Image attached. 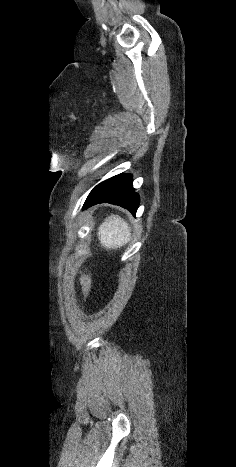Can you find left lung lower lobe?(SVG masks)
Instances as JSON below:
<instances>
[{
    "label": "left lung lower lobe",
    "mask_w": 236,
    "mask_h": 467,
    "mask_svg": "<svg viewBox=\"0 0 236 467\" xmlns=\"http://www.w3.org/2000/svg\"><path fill=\"white\" fill-rule=\"evenodd\" d=\"M139 201V196L133 189L132 176L119 174L98 184L88 195L83 208L107 202L120 205L135 215Z\"/></svg>",
    "instance_id": "0a47b994"
}]
</instances>
